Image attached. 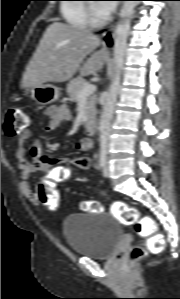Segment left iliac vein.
I'll return each instance as SVG.
<instances>
[{"label": "left iliac vein", "instance_id": "1", "mask_svg": "<svg viewBox=\"0 0 180 299\" xmlns=\"http://www.w3.org/2000/svg\"><path fill=\"white\" fill-rule=\"evenodd\" d=\"M103 175L104 177H109L110 176V171H109V163L108 161L106 162L104 169H103Z\"/></svg>", "mask_w": 180, "mask_h": 299}]
</instances>
